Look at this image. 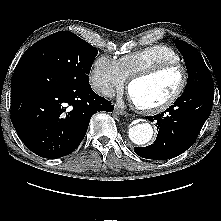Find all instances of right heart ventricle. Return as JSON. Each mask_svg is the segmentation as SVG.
<instances>
[{
  "label": "right heart ventricle",
  "mask_w": 221,
  "mask_h": 221,
  "mask_svg": "<svg viewBox=\"0 0 221 221\" xmlns=\"http://www.w3.org/2000/svg\"><path fill=\"white\" fill-rule=\"evenodd\" d=\"M118 65L126 78L149 67L165 62H180L177 52L163 44L150 45L121 56Z\"/></svg>",
  "instance_id": "obj_1"
}]
</instances>
